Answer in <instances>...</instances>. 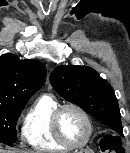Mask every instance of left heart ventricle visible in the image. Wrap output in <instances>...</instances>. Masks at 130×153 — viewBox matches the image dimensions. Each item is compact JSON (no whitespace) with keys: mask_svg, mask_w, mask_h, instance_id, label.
<instances>
[{"mask_svg":"<svg viewBox=\"0 0 130 153\" xmlns=\"http://www.w3.org/2000/svg\"><path fill=\"white\" fill-rule=\"evenodd\" d=\"M60 129L64 137L75 144L85 139L88 130L84 118L74 109H67L62 113Z\"/></svg>","mask_w":130,"mask_h":153,"instance_id":"obj_1","label":"left heart ventricle"}]
</instances>
